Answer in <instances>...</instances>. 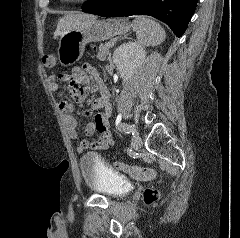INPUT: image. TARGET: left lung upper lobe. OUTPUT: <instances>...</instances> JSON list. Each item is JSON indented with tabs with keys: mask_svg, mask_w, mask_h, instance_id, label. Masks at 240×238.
<instances>
[{
	"mask_svg": "<svg viewBox=\"0 0 240 238\" xmlns=\"http://www.w3.org/2000/svg\"><path fill=\"white\" fill-rule=\"evenodd\" d=\"M99 1H100V0H88L87 2H85V3L83 4V9H84V10H85V9H88V8L94 6L95 4H97Z\"/></svg>",
	"mask_w": 240,
	"mask_h": 238,
	"instance_id": "5c2ea615",
	"label": "left lung upper lobe"
}]
</instances>
